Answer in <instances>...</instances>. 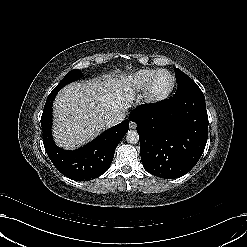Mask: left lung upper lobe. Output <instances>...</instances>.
<instances>
[{
    "mask_svg": "<svg viewBox=\"0 0 247 247\" xmlns=\"http://www.w3.org/2000/svg\"><path fill=\"white\" fill-rule=\"evenodd\" d=\"M176 77L178 80V87L174 96H182L192 91L200 90L198 85L178 68H176Z\"/></svg>",
    "mask_w": 247,
    "mask_h": 247,
    "instance_id": "left-lung-upper-lobe-1",
    "label": "left lung upper lobe"
}]
</instances>
